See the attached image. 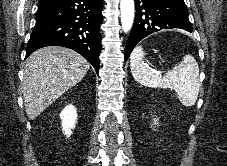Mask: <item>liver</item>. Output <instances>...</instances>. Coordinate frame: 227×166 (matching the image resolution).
<instances>
[{
    "instance_id": "obj_1",
    "label": "liver",
    "mask_w": 227,
    "mask_h": 166,
    "mask_svg": "<svg viewBox=\"0 0 227 166\" xmlns=\"http://www.w3.org/2000/svg\"><path fill=\"white\" fill-rule=\"evenodd\" d=\"M89 69V62L68 48L48 46L33 52L27 59L22 83L28 118L38 117L79 83Z\"/></svg>"
}]
</instances>
